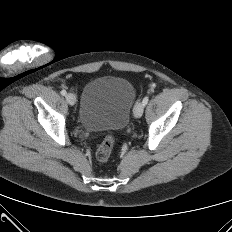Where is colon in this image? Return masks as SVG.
I'll list each match as a JSON object with an SVG mask.
<instances>
[{"label":"colon","instance_id":"5ec220e1","mask_svg":"<svg viewBox=\"0 0 232 232\" xmlns=\"http://www.w3.org/2000/svg\"><path fill=\"white\" fill-rule=\"evenodd\" d=\"M114 147V138L111 135H108L104 140L99 144L96 150V158L99 161H106L111 156L112 150Z\"/></svg>","mask_w":232,"mask_h":232}]
</instances>
